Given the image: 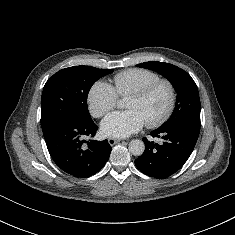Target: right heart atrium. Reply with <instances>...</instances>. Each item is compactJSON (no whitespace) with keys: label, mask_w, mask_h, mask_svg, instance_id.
Segmentation results:
<instances>
[{"label":"right heart atrium","mask_w":235,"mask_h":235,"mask_svg":"<svg viewBox=\"0 0 235 235\" xmlns=\"http://www.w3.org/2000/svg\"><path fill=\"white\" fill-rule=\"evenodd\" d=\"M118 96L113 87L100 80L90 88L87 103L90 113L97 118L106 115L117 104Z\"/></svg>","instance_id":"right-heart-atrium-1"}]
</instances>
